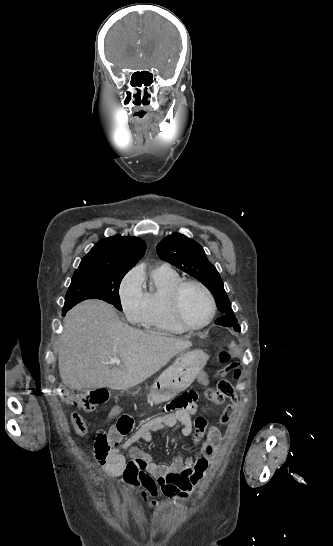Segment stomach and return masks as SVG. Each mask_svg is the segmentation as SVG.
Here are the masks:
<instances>
[{
    "mask_svg": "<svg viewBox=\"0 0 333 546\" xmlns=\"http://www.w3.org/2000/svg\"><path fill=\"white\" fill-rule=\"evenodd\" d=\"M207 360L208 356L199 349L180 354L148 388V400L160 404L175 397L193 383L197 377L196 373L204 368ZM128 393L132 396L138 394V392L129 391Z\"/></svg>",
    "mask_w": 333,
    "mask_h": 546,
    "instance_id": "obj_1",
    "label": "stomach"
}]
</instances>
